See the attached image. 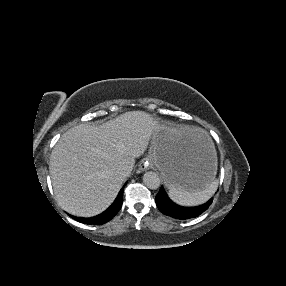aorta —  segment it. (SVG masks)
<instances>
[{"mask_svg": "<svg viewBox=\"0 0 286 286\" xmlns=\"http://www.w3.org/2000/svg\"><path fill=\"white\" fill-rule=\"evenodd\" d=\"M143 182L150 189L159 188L161 183L159 176L152 171L146 172L143 175Z\"/></svg>", "mask_w": 286, "mask_h": 286, "instance_id": "obj_1", "label": "aorta"}]
</instances>
